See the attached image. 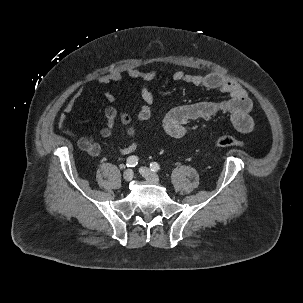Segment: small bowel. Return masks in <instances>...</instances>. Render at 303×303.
I'll use <instances>...</instances> for the list:
<instances>
[{"label":"small bowel","mask_w":303,"mask_h":303,"mask_svg":"<svg viewBox=\"0 0 303 303\" xmlns=\"http://www.w3.org/2000/svg\"><path fill=\"white\" fill-rule=\"evenodd\" d=\"M125 74L133 79L143 81L140 90L142 101L141 108L136 115V121L126 112L118 110L109 105L104 111L106 120L105 126L100 131V136L108 138L112 135L115 124L120 121L125 125L131 142L120 150L123 155L133 153L138 146L136 136V123L148 121L152 116V105L154 96L148 83L156 79L159 75L157 70L141 71L135 67L126 69ZM177 82L190 83L195 86H203L209 90H216L229 95L226 100L213 102L205 101L193 104L182 105L170 110L163 120L164 129L167 134L173 138H182L190 130V124L200 119H209L217 114L230 115L232 125L241 133L252 131L254 123L250 116L252 110V101L247 91L237 82L226 78L219 73L190 74L183 70L175 71L172 75ZM123 79V73L117 70L111 71L100 76L97 81L99 84L118 83ZM84 92V87H79L72 97L67 101L63 111L60 114L58 127L67 136L71 137L79 149L90 156L96 157L101 154V146L89 136H79L68 127V116L72 113L76 101ZM106 100L112 104L116 95L112 91L105 94Z\"/></svg>","instance_id":"c3829d8e"}]
</instances>
